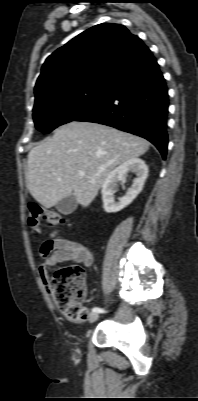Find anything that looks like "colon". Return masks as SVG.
<instances>
[{
  "mask_svg": "<svg viewBox=\"0 0 198 401\" xmlns=\"http://www.w3.org/2000/svg\"><path fill=\"white\" fill-rule=\"evenodd\" d=\"M27 223L36 233L41 225L55 228L63 223V215L56 211L46 210L37 203L28 206ZM50 292L64 316L72 322H83L87 310L83 307L85 299V270L79 265H71L57 270L49 282Z\"/></svg>",
  "mask_w": 198,
  "mask_h": 401,
  "instance_id": "1",
  "label": "colon"
}]
</instances>
